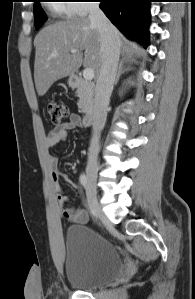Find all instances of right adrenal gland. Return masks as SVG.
Segmentation results:
<instances>
[{
    "label": "right adrenal gland",
    "instance_id": "obj_1",
    "mask_svg": "<svg viewBox=\"0 0 195 299\" xmlns=\"http://www.w3.org/2000/svg\"><path fill=\"white\" fill-rule=\"evenodd\" d=\"M133 60H130V59H122L119 63V66H118V70H117V75H116V79H115V82H114V85H117L118 81H119V78H120V75L122 73H125L127 71H130L132 68H131V64H132Z\"/></svg>",
    "mask_w": 195,
    "mask_h": 299
}]
</instances>
